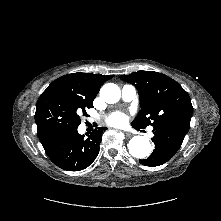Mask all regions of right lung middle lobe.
<instances>
[{"label": "right lung middle lobe", "instance_id": "obj_1", "mask_svg": "<svg viewBox=\"0 0 221 221\" xmlns=\"http://www.w3.org/2000/svg\"><path fill=\"white\" fill-rule=\"evenodd\" d=\"M91 107L92 103L67 88L48 87L36 104L35 121L39 139L57 131L78 128L81 123L79 115L83 113L87 116L86 109Z\"/></svg>", "mask_w": 221, "mask_h": 221}]
</instances>
